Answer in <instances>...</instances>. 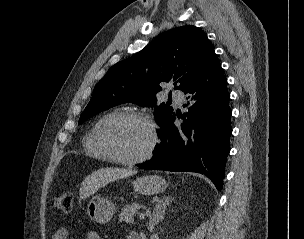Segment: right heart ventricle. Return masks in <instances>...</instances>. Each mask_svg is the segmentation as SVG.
<instances>
[{
  "instance_id": "1",
  "label": "right heart ventricle",
  "mask_w": 304,
  "mask_h": 239,
  "mask_svg": "<svg viewBox=\"0 0 304 239\" xmlns=\"http://www.w3.org/2000/svg\"><path fill=\"white\" fill-rule=\"evenodd\" d=\"M116 113L118 112L113 111L100 117L97 120V122L93 125V127L90 129V131L86 134V136L83 138V142H82L83 149L88 156L100 160H107V161L111 160L110 157L107 155V153L99 145L97 135L104 121Z\"/></svg>"
}]
</instances>
